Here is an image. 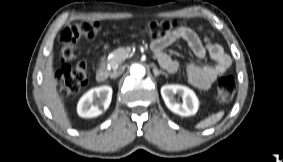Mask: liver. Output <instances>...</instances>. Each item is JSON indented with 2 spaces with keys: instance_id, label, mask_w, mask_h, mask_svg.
<instances>
[{
  "instance_id": "6515ba94",
  "label": "liver",
  "mask_w": 283,
  "mask_h": 162,
  "mask_svg": "<svg viewBox=\"0 0 283 162\" xmlns=\"http://www.w3.org/2000/svg\"><path fill=\"white\" fill-rule=\"evenodd\" d=\"M53 55H50L46 62L43 76V96L54 119L63 127H71V122L65 110L64 102L57 92V80L53 72Z\"/></svg>"
}]
</instances>
